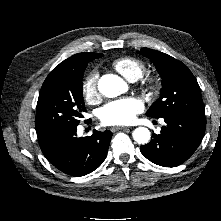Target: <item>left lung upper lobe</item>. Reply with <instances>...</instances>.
Instances as JSON below:
<instances>
[{"label":"left lung upper lobe","instance_id":"1","mask_svg":"<svg viewBox=\"0 0 221 221\" xmlns=\"http://www.w3.org/2000/svg\"><path fill=\"white\" fill-rule=\"evenodd\" d=\"M139 53L154 63L162 77L160 98L148 109L147 116L164 118L179 113L205 115L197 80L182 62L149 48H142Z\"/></svg>","mask_w":221,"mask_h":221}]
</instances>
